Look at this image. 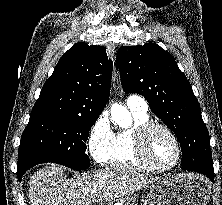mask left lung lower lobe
Returning a JSON list of instances; mask_svg holds the SVG:
<instances>
[{"label":"left lung lower lobe","instance_id":"0a47b994","mask_svg":"<svg viewBox=\"0 0 222 205\" xmlns=\"http://www.w3.org/2000/svg\"><path fill=\"white\" fill-rule=\"evenodd\" d=\"M182 169L204 174L212 181L214 180L213 163H210L207 159L198 156L196 153L183 155Z\"/></svg>","mask_w":222,"mask_h":205}]
</instances>
